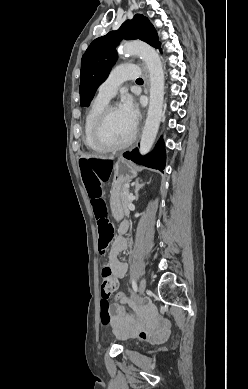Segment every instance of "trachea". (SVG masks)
Returning <instances> with one entry per match:
<instances>
[{
    "label": "trachea",
    "mask_w": 248,
    "mask_h": 389,
    "mask_svg": "<svg viewBox=\"0 0 248 389\" xmlns=\"http://www.w3.org/2000/svg\"><path fill=\"white\" fill-rule=\"evenodd\" d=\"M136 81H143L141 78H138Z\"/></svg>",
    "instance_id": "obj_1"
}]
</instances>
